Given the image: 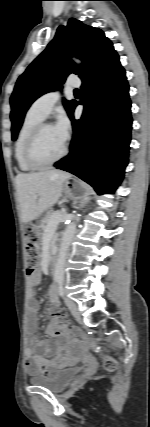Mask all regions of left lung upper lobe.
I'll return each instance as SVG.
<instances>
[{
	"mask_svg": "<svg viewBox=\"0 0 150 427\" xmlns=\"http://www.w3.org/2000/svg\"><path fill=\"white\" fill-rule=\"evenodd\" d=\"M112 49L111 41L98 28L74 18L67 26H59L53 40L16 82L10 98L12 140H16L26 111L38 97L61 89L71 73L84 79ZM72 56L82 59L83 64L76 65L70 60ZM63 103L70 114L76 101Z\"/></svg>",
	"mask_w": 150,
	"mask_h": 427,
	"instance_id": "left-lung-upper-lobe-1",
	"label": "left lung upper lobe"
}]
</instances>
